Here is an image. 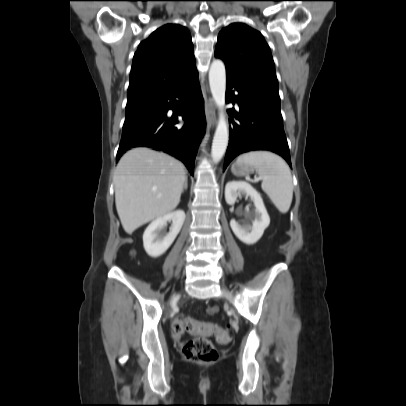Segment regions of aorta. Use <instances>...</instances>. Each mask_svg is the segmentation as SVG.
Masks as SVG:
<instances>
[{
    "mask_svg": "<svg viewBox=\"0 0 406 406\" xmlns=\"http://www.w3.org/2000/svg\"><path fill=\"white\" fill-rule=\"evenodd\" d=\"M210 90L215 104L219 108L225 105L226 69L223 61L213 60L209 70ZM229 140L228 121L219 113L216 131L213 137L211 155L215 163L219 162L226 152Z\"/></svg>",
    "mask_w": 406,
    "mask_h": 406,
    "instance_id": "762f6f07",
    "label": "aorta"
}]
</instances>
